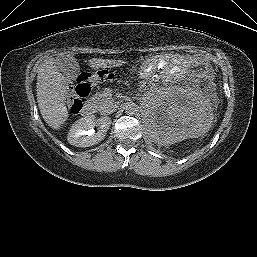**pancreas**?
<instances>
[{
    "mask_svg": "<svg viewBox=\"0 0 257 257\" xmlns=\"http://www.w3.org/2000/svg\"><path fill=\"white\" fill-rule=\"evenodd\" d=\"M112 99V93L110 89H105L104 91L96 93L90 98L89 103L95 108L101 110L108 102Z\"/></svg>",
    "mask_w": 257,
    "mask_h": 257,
    "instance_id": "1",
    "label": "pancreas"
}]
</instances>
